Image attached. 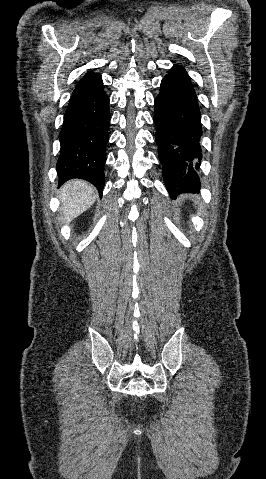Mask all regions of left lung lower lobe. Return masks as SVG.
Returning <instances> with one entry per match:
<instances>
[{
	"instance_id": "0a47b994",
	"label": "left lung lower lobe",
	"mask_w": 266,
	"mask_h": 479,
	"mask_svg": "<svg viewBox=\"0 0 266 479\" xmlns=\"http://www.w3.org/2000/svg\"><path fill=\"white\" fill-rule=\"evenodd\" d=\"M155 140L169 195L199 192L201 113L190 78L175 64L155 99Z\"/></svg>"
}]
</instances>
